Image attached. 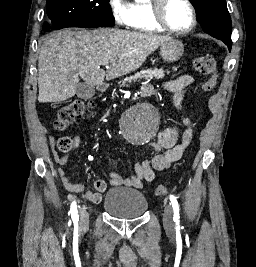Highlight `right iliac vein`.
Segmentation results:
<instances>
[{
	"label": "right iliac vein",
	"mask_w": 256,
	"mask_h": 267,
	"mask_svg": "<svg viewBox=\"0 0 256 267\" xmlns=\"http://www.w3.org/2000/svg\"><path fill=\"white\" fill-rule=\"evenodd\" d=\"M79 215H80V221H79L80 228H86L89 223L88 211L85 208H81Z\"/></svg>",
	"instance_id": "63e3f726"
}]
</instances>
